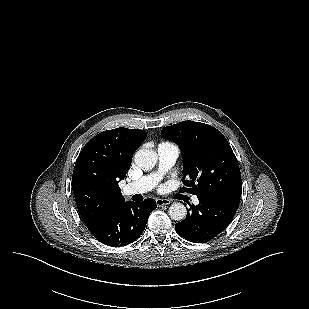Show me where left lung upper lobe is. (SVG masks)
<instances>
[{"mask_svg": "<svg viewBox=\"0 0 309 309\" xmlns=\"http://www.w3.org/2000/svg\"><path fill=\"white\" fill-rule=\"evenodd\" d=\"M161 135L181 148L182 178L195 195H224L240 198L241 174L238 161L223 134L199 122L183 121L164 127Z\"/></svg>", "mask_w": 309, "mask_h": 309, "instance_id": "1", "label": "left lung upper lobe"}]
</instances>
